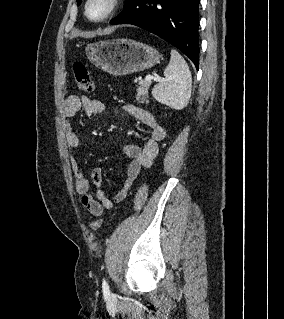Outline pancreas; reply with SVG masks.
Masks as SVG:
<instances>
[{
	"mask_svg": "<svg viewBox=\"0 0 284 319\" xmlns=\"http://www.w3.org/2000/svg\"><path fill=\"white\" fill-rule=\"evenodd\" d=\"M150 86V82H146L141 80L139 82V87L137 88V95H136V99L138 101V103L142 104V103H148V89Z\"/></svg>",
	"mask_w": 284,
	"mask_h": 319,
	"instance_id": "cf45deb5",
	"label": "pancreas"
}]
</instances>
